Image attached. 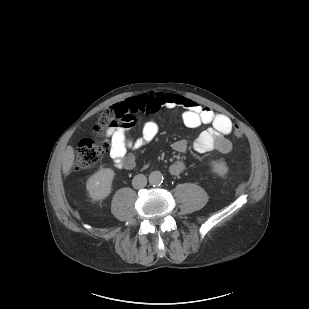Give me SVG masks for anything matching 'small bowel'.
Returning a JSON list of instances; mask_svg holds the SVG:
<instances>
[{
	"instance_id": "1",
	"label": "small bowel",
	"mask_w": 309,
	"mask_h": 309,
	"mask_svg": "<svg viewBox=\"0 0 309 309\" xmlns=\"http://www.w3.org/2000/svg\"><path fill=\"white\" fill-rule=\"evenodd\" d=\"M162 108H183L182 119L187 127L195 128L201 124H210L211 127L200 134L194 142V150L199 153L218 151L226 154L231 151L232 145L227 136L232 131L231 120L212 109L204 107L181 95L171 93H149L127 99L118 104V109L130 113L146 112L155 114ZM129 128H112L110 136V157L117 168L131 169L135 159L127 151L129 148L140 149L153 141L159 133V126L155 121L144 123L141 134L136 139L128 135ZM187 141L179 139L173 143V148L179 153L187 150ZM184 170V163L176 161L169 167L172 176L180 175Z\"/></svg>"
}]
</instances>
